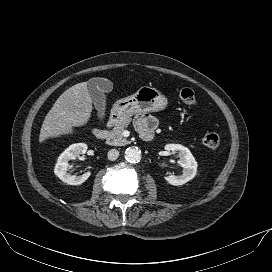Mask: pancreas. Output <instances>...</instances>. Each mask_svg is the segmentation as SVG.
Returning a JSON list of instances; mask_svg holds the SVG:
<instances>
[{
	"label": "pancreas",
	"instance_id": "obj_1",
	"mask_svg": "<svg viewBox=\"0 0 272 272\" xmlns=\"http://www.w3.org/2000/svg\"><path fill=\"white\" fill-rule=\"evenodd\" d=\"M131 120V118H128L123 120L122 122L117 123L108 134L107 144L113 146H124L128 144L129 141L123 137V131L128 127Z\"/></svg>",
	"mask_w": 272,
	"mask_h": 272
}]
</instances>
